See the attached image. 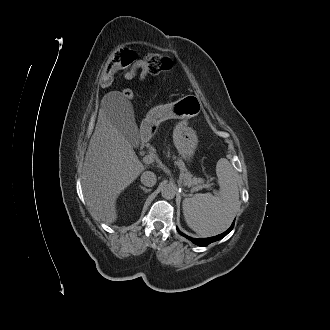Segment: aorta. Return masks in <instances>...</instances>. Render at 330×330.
<instances>
[{
  "instance_id": "obj_1",
  "label": "aorta",
  "mask_w": 330,
  "mask_h": 330,
  "mask_svg": "<svg viewBox=\"0 0 330 330\" xmlns=\"http://www.w3.org/2000/svg\"><path fill=\"white\" fill-rule=\"evenodd\" d=\"M177 188L173 184H165L162 186L161 195L165 199H173L176 195Z\"/></svg>"
}]
</instances>
